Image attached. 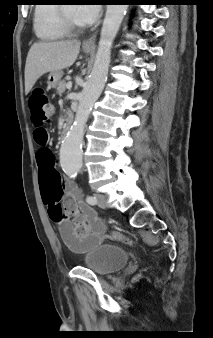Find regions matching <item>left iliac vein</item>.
<instances>
[{
    "label": "left iliac vein",
    "instance_id": "obj_1",
    "mask_svg": "<svg viewBox=\"0 0 213 338\" xmlns=\"http://www.w3.org/2000/svg\"><path fill=\"white\" fill-rule=\"evenodd\" d=\"M95 197L97 199V205L100 207V208H107V199H106V196L101 194V193H97L95 194Z\"/></svg>",
    "mask_w": 213,
    "mask_h": 338
}]
</instances>
